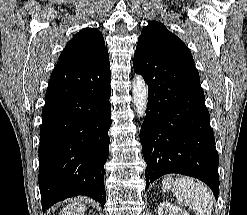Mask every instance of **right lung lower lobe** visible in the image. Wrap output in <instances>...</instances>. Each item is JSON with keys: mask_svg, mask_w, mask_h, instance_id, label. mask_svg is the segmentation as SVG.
I'll return each instance as SVG.
<instances>
[{"mask_svg": "<svg viewBox=\"0 0 247 215\" xmlns=\"http://www.w3.org/2000/svg\"><path fill=\"white\" fill-rule=\"evenodd\" d=\"M108 53L86 65L58 62L42 111L39 188L43 212L66 198L106 202L104 164L111 126Z\"/></svg>", "mask_w": 247, "mask_h": 215, "instance_id": "right-lung-lower-lobe-1", "label": "right lung lower lobe"}]
</instances>
